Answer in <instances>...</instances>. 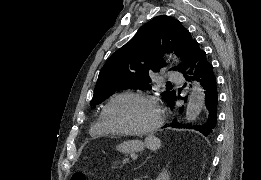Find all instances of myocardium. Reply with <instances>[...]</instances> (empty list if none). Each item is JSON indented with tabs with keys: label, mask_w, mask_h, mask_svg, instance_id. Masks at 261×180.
<instances>
[{
	"label": "myocardium",
	"mask_w": 261,
	"mask_h": 180,
	"mask_svg": "<svg viewBox=\"0 0 261 180\" xmlns=\"http://www.w3.org/2000/svg\"><path fill=\"white\" fill-rule=\"evenodd\" d=\"M127 96L141 97V98L149 101L154 106V117H153L152 124H151L150 128L144 133L132 134V133L117 132L116 130H114L112 128V126L110 125V123L107 120L106 113H107L108 108L118 99L127 97ZM100 115H101L103 125L105 126L107 131L119 139L147 140L157 134V132L160 128V125H161V121H162V110H161L160 101L158 100V98L155 95H153L147 91H144V90H125V91H122V92H119V93L113 95L103 106Z\"/></svg>",
	"instance_id": "f54148a6"
}]
</instances>
